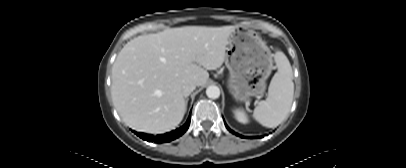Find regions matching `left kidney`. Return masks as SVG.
Returning <instances> with one entry per match:
<instances>
[{
  "label": "left kidney",
  "instance_id": "obj_1",
  "mask_svg": "<svg viewBox=\"0 0 406 168\" xmlns=\"http://www.w3.org/2000/svg\"><path fill=\"white\" fill-rule=\"evenodd\" d=\"M233 113H234V115H235V118H236L239 122H241V123H247V122H248V117H247V115L245 114V112H244L243 110H241V109H235V110L233 111Z\"/></svg>",
  "mask_w": 406,
  "mask_h": 168
}]
</instances>
